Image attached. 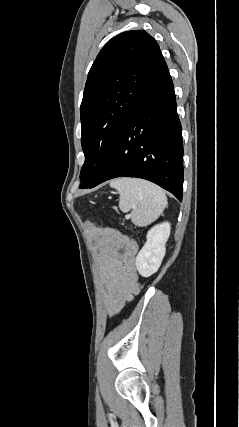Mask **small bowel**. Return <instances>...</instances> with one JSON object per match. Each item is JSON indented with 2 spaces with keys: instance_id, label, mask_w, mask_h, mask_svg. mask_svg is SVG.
<instances>
[{
  "instance_id": "obj_1",
  "label": "small bowel",
  "mask_w": 239,
  "mask_h": 427,
  "mask_svg": "<svg viewBox=\"0 0 239 427\" xmlns=\"http://www.w3.org/2000/svg\"><path fill=\"white\" fill-rule=\"evenodd\" d=\"M89 235L99 251L105 307L115 314L139 291L135 265L138 248L135 242L112 228L90 227Z\"/></svg>"
}]
</instances>
